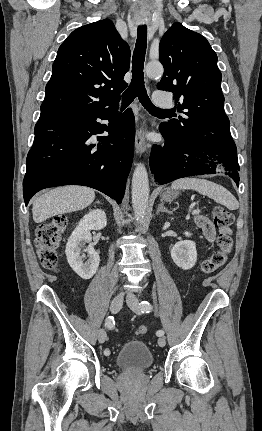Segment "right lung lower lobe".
Here are the masks:
<instances>
[{
    "label": "right lung lower lobe",
    "instance_id": "1",
    "mask_svg": "<svg viewBox=\"0 0 262 431\" xmlns=\"http://www.w3.org/2000/svg\"><path fill=\"white\" fill-rule=\"evenodd\" d=\"M100 113L41 115L26 160L25 205L38 191L61 185L95 188L121 203L134 150L135 120L131 109L117 117ZM109 120V126L97 122ZM104 131L108 136H92Z\"/></svg>",
    "mask_w": 262,
    "mask_h": 431
}]
</instances>
